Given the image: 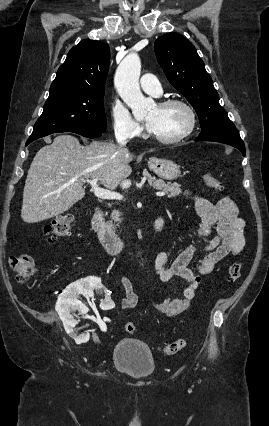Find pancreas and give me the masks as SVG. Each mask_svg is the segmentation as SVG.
<instances>
[{"label": "pancreas", "mask_w": 269, "mask_h": 426, "mask_svg": "<svg viewBox=\"0 0 269 426\" xmlns=\"http://www.w3.org/2000/svg\"><path fill=\"white\" fill-rule=\"evenodd\" d=\"M147 178H148V183L150 186H152L153 188L157 189V190H161L163 192H165L167 194L168 197L172 198L175 196H178L179 194H181V185L178 183H165L163 180L161 179H157L154 176H151L150 174H146ZM120 212L118 210H113L111 213V221L114 220L115 222H121V218H120Z\"/></svg>", "instance_id": "1"}]
</instances>
